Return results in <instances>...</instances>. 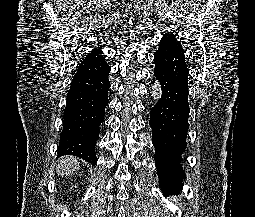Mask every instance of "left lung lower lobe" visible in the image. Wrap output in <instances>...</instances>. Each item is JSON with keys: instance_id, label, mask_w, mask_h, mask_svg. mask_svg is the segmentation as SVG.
<instances>
[{"instance_id": "1", "label": "left lung lower lobe", "mask_w": 255, "mask_h": 217, "mask_svg": "<svg viewBox=\"0 0 255 217\" xmlns=\"http://www.w3.org/2000/svg\"><path fill=\"white\" fill-rule=\"evenodd\" d=\"M154 63L162 97L151 110L150 127L160 187L168 193L181 188L185 177L180 162L189 127V70L184 54L167 46H159Z\"/></svg>"}]
</instances>
